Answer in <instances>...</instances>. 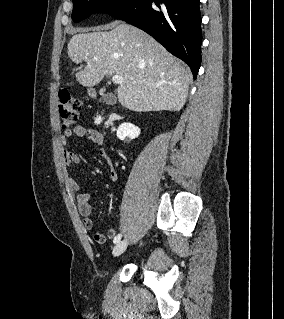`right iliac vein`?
Here are the masks:
<instances>
[{"label": "right iliac vein", "instance_id": "1", "mask_svg": "<svg viewBox=\"0 0 284 319\" xmlns=\"http://www.w3.org/2000/svg\"><path fill=\"white\" fill-rule=\"evenodd\" d=\"M127 246H128V241L127 240H122V241L118 242L114 246L112 254L115 257L121 255L126 250Z\"/></svg>", "mask_w": 284, "mask_h": 319}]
</instances>
